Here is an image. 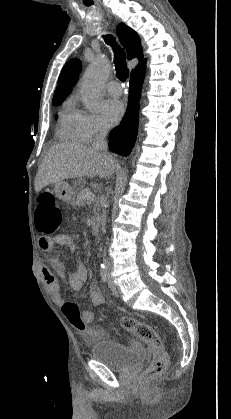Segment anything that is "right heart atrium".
I'll list each match as a JSON object with an SVG mask.
<instances>
[{
	"label": "right heart atrium",
	"instance_id": "right-heart-atrium-1",
	"mask_svg": "<svg viewBox=\"0 0 231 419\" xmlns=\"http://www.w3.org/2000/svg\"><path fill=\"white\" fill-rule=\"evenodd\" d=\"M80 128L86 141L107 132V126L103 120L97 114L91 112H81Z\"/></svg>",
	"mask_w": 231,
	"mask_h": 419
}]
</instances>
